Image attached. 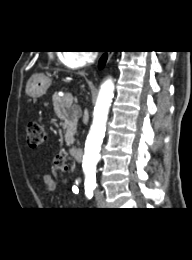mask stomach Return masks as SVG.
Segmentation results:
<instances>
[{"label": "stomach", "instance_id": "stomach-1", "mask_svg": "<svg viewBox=\"0 0 192 260\" xmlns=\"http://www.w3.org/2000/svg\"><path fill=\"white\" fill-rule=\"evenodd\" d=\"M51 85V80L44 75H34L27 84V94L33 98L44 95Z\"/></svg>", "mask_w": 192, "mask_h": 260}]
</instances>
